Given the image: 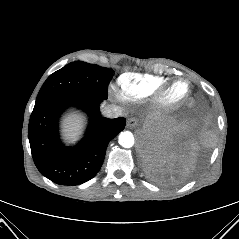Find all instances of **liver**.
<instances>
[{
    "label": "liver",
    "instance_id": "6515ba94",
    "mask_svg": "<svg viewBox=\"0 0 239 239\" xmlns=\"http://www.w3.org/2000/svg\"><path fill=\"white\" fill-rule=\"evenodd\" d=\"M84 122L81 114L76 112L68 113L62 120V131L66 140L75 141L80 134Z\"/></svg>",
    "mask_w": 239,
    "mask_h": 239
}]
</instances>
